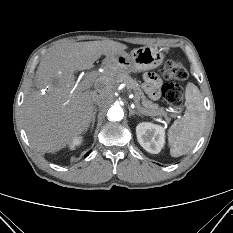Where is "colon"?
Instances as JSON below:
<instances>
[{
  "label": "colon",
  "instance_id": "colon-1",
  "mask_svg": "<svg viewBox=\"0 0 233 233\" xmlns=\"http://www.w3.org/2000/svg\"><path fill=\"white\" fill-rule=\"evenodd\" d=\"M164 76L169 80L161 88L164 100L172 106L180 105L182 103L183 91L176 81H184L188 78L186 68L178 61L167 60L164 64Z\"/></svg>",
  "mask_w": 233,
  "mask_h": 233
}]
</instances>
